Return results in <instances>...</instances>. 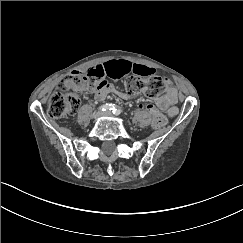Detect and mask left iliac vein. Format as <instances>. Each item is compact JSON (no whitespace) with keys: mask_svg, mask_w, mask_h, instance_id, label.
Instances as JSON below:
<instances>
[{"mask_svg":"<svg viewBox=\"0 0 243 243\" xmlns=\"http://www.w3.org/2000/svg\"><path fill=\"white\" fill-rule=\"evenodd\" d=\"M104 116H111V112L110 111H106L103 113Z\"/></svg>","mask_w":243,"mask_h":243,"instance_id":"obj_1","label":"left iliac vein"}]
</instances>
